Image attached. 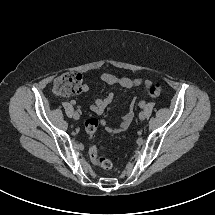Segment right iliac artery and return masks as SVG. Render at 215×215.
<instances>
[{
    "label": "right iliac artery",
    "mask_w": 215,
    "mask_h": 215,
    "mask_svg": "<svg viewBox=\"0 0 215 215\" xmlns=\"http://www.w3.org/2000/svg\"><path fill=\"white\" fill-rule=\"evenodd\" d=\"M71 103H72V104H76V102H75V101H72Z\"/></svg>",
    "instance_id": "1"
}]
</instances>
